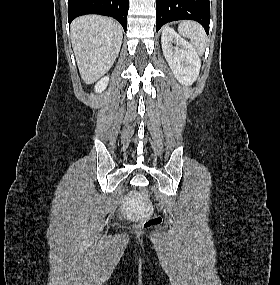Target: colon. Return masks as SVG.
<instances>
[{"label":"colon","mask_w":280,"mask_h":285,"mask_svg":"<svg viewBox=\"0 0 280 285\" xmlns=\"http://www.w3.org/2000/svg\"><path fill=\"white\" fill-rule=\"evenodd\" d=\"M140 195L146 199H150V193L145 187H140ZM162 223V218L158 215H151L142 223L141 228L142 229H150L154 227H158Z\"/></svg>","instance_id":"1"}]
</instances>
